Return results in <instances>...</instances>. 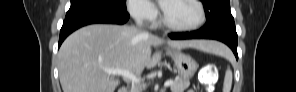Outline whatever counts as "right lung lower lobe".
Wrapping results in <instances>:
<instances>
[{
    "mask_svg": "<svg viewBox=\"0 0 296 92\" xmlns=\"http://www.w3.org/2000/svg\"><path fill=\"white\" fill-rule=\"evenodd\" d=\"M129 19L127 10H115L97 3L71 5L60 30L59 45L76 29L94 23L124 24Z\"/></svg>",
    "mask_w": 296,
    "mask_h": 92,
    "instance_id": "1",
    "label": "right lung lower lobe"
}]
</instances>
